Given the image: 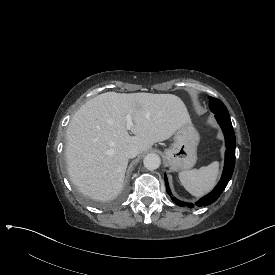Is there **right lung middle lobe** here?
Segmentation results:
<instances>
[{
    "instance_id": "obj_1",
    "label": "right lung middle lobe",
    "mask_w": 275,
    "mask_h": 275,
    "mask_svg": "<svg viewBox=\"0 0 275 275\" xmlns=\"http://www.w3.org/2000/svg\"><path fill=\"white\" fill-rule=\"evenodd\" d=\"M65 149V148H64ZM64 153H65V151H64ZM65 158V157H64ZM66 162V161H65ZM65 166H66V164H65ZM67 169V168H66ZM68 172V171H67ZM70 175V174H69ZM72 177V176H71ZM73 179V178H72ZM75 183V182H74ZM127 183H128V181H127ZM126 183V184H127ZM76 184V183H75ZM76 186V185H75ZM69 188L70 189H73L74 188V185L73 184H70L69 185ZM128 190H129V186L128 185H125L124 186V189H123V192L121 193V195H120V198H117L116 199V202L114 201V202H96V201H94V200H90L89 198H90V195L89 194H86V193H82L81 194V190L78 188V187H75L74 188V193H73V196L74 197H76L77 199H79V200H82V202L83 203H85L86 205H91V206H94V207H119V206H121L122 205V203H123V200L122 199H124L125 197H126V195H127V192H128ZM81 194V195H80ZM90 201H89V200Z\"/></svg>"
}]
</instances>
